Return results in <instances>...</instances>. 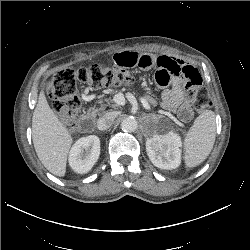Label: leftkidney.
<instances>
[{"label": "left kidney", "instance_id": "5707ae66", "mask_svg": "<svg viewBox=\"0 0 250 250\" xmlns=\"http://www.w3.org/2000/svg\"><path fill=\"white\" fill-rule=\"evenodd\" d=\"M181 137L174 131L155 135L146 141V151L154 166L172 170L181 164Z\"/></svg>", "mask_w": 250, "mask_h": 250}]
</instances>
